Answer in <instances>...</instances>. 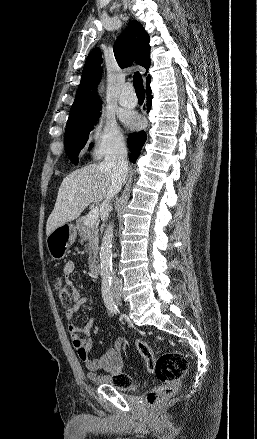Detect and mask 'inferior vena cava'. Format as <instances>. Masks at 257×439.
Returning <instances> with one entry per match:
<instances>
[{
  "mask_svg": "<svg viewBox=\"0 0 257 439\" xmlns=\"http://www.w3.org/2000/svg\"><path fill=\"white\" fill-rule=\"evenodd\" d=\"M104 163L112 168L111 187L104 202L107 205L113 196L121 190L122 183L127 175V149L123 139L115 141L110 146L105 155ZM111 287L122 288V281L117 277H113Z\"/></svg>",
  "mask_w": 257,
  "mask_h": 439,
  "instance_id": "1",
  "label": "inferior vena cava"
}]
</instances>
